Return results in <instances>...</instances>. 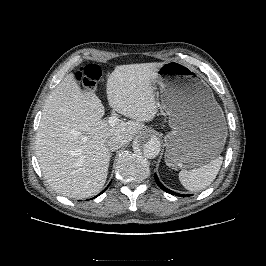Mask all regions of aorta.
<instances>
[{"instance_id":"obj_1","label":"aorta","mask_w":266,"mask_h":266,"mask_svg":"<svg viewBox=\"0 0 266 266\" xmlns=\"http://www.w3.org/2000/svg\"><path fill=\"white\" fill-rule=\"evenodd\" d=\"M134 149L140 150L146 158L153 159L160 152L161 142L157 136L150 132H144L135 142Z\"/></svg>"}]
</instances>
